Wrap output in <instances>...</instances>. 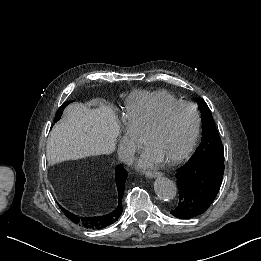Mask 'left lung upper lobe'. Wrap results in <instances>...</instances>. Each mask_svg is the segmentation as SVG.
<instances>
[{"mask_svg":"<svg viewBox=\"0 0 261 261\" xmlns=\"http://www.w3.org/2000/svg\"><path fill=\"white\" fill-rule=\"evenodd\" d=\"M201 111L203 129L202 140L196 149L193 157H202L204 155H213L218 158L224 157V149L215 127V123L208 105L203 101H198Z\"/></svg>","mask_w":261,"mask_h":261,"instance_id":"obj_1","label":"left lung upper lobe"}]
</instances>
